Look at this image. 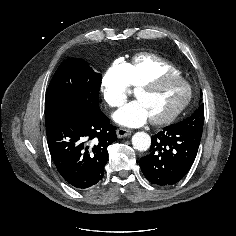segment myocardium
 <instances>
[{
  "label": "myocardium",
  "instance_id": "myocardium-1",
  "mask_svg": "<svg viewBox=\"0 0 236 236\" xmlns=\"http://www.w3.org/2000/svg\"><path fill=\"white\" fill-rule=\"evenodd\" d=\"M168 80H176L183 83L186 88V96L184 100L171 113L163 117L151 118L150 121L155 125H164V124L171 123L185 110V108L188 106L192 98V89H191L190 84L180 74H161L146 81L145 83L141 84L140 86L136 88L135 95L137 96L138 93L142 91L152 90L156 88L162 82H165Z\"/></svg>",
  "mask_w": 236,
  "mask_h": 236
}]
</instances>
